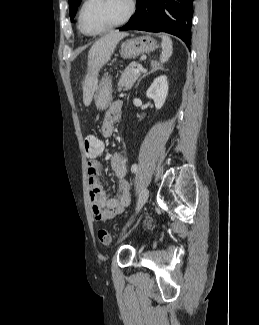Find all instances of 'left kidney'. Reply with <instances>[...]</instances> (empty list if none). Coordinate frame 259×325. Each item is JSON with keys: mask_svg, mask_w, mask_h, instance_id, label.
<instances>
[{"mask_svg": "<svg viewBox=\"0 0 259 325\" xmlns=\"http://www.w3.org/2000/svg\"><path fill=\"white\" fill-rule=\"evenodd\" d=\"M168 82L165 75L156 78L146 92V96L153 99L156 109H161L168 95Z\"/></svg>", "mask_w": 259, "mask_h": 325, "instance_id": "left-kidney-1", "label": "left kidney"}]
</instances>
